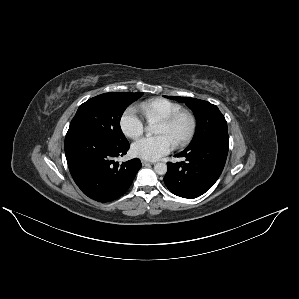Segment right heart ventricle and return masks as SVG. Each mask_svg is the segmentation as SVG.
<instances>
[{
    "mask_svg": "<svg viewBox=\"0 0 299 299\" xmlns=\"http://www.w3.org/2000/svg\"><path fill=\"white\" fill-rule=\"evenodd\" d=\"M140 109L149 123L161 121L182 109L176 102L164 98H156L141 103Z\"/></svg>",
    "mask_w": 299,
    "mask_h": 299,
    "instance_id": "obj_1",
    "label": "right heart ventricle"
}]
</instances>
